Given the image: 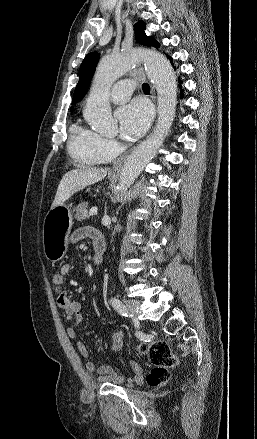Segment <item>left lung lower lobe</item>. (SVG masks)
<instances>
[{
  "label": "left lung lower lobe",
  "mask_w": 257,
  "mask_h": 439,
  "mask_svg": "<svg viewBox=\"0 0 257 439\" xmlns=\"http://www.w3.org/2000/svg\"><path fill=\"white\" fill-rule=\"evenodd\" d=\"M167 56H168V55H167ZM168 58H169V60L171 61V63H173V59H172L170 56H168ZM180 94H181V98H182V95H183V94H182V91H181Z\"/></svg>",
  "instance_id": "left-lung-lower-lobe-1"
}]
</instances>
